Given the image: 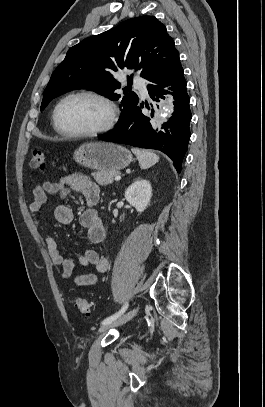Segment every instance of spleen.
<instances>
[{
	"label": "spleen",
	"mask_w": 265,
	"mask_h": 407,
	"mask_svg": "<svg viewBox=\"0 0 265 407\" xmlns=\"http://www.w3.org/2000/svg\"><path fill=\"white\" fill-rule=\"evenodd\" d=\"M131 150L137 157L142 169H148L159 161V157L149 150L137 148H132Z\"/></svg>",
	"instance_id": "obj_1"
}]
</instances>
